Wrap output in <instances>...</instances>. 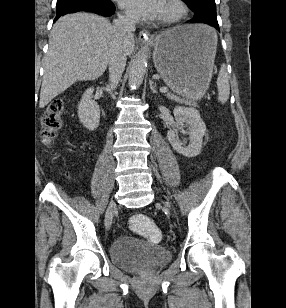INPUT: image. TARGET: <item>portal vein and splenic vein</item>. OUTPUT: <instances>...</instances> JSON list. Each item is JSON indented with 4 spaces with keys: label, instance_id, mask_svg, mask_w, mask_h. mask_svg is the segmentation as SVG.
I'll return each instance as SVG.
<instances>
[{
    "label": "portal vein and splenic vein",
    "instance_id": "portal-vein-and-splenic-vein-1",
    "mask_svg": "<svg viewBox=\"0 0 286 308\" xmlns=\"http://www.w3.org/2000/svg\"><path fill=\"white\" fill-rule=\"evenodd\" d=\"M168 91V89L166 88V87H161L160 88V92H162V93H165V92H167Z\"/></svg>",
    "mask_w": 286,
    "mask_h": 308
}]
</instances>
